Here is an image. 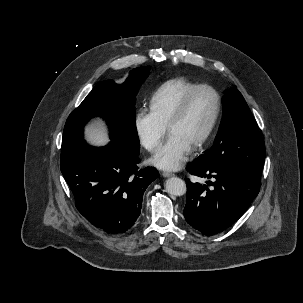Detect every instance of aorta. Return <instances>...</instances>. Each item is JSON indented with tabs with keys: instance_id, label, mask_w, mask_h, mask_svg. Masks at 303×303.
I'll return each mask as SVG.
<instances>
[{
	"instance_id": "aorta-1",
	"label": "aorta",
	"mask_w": 303,
	"mask_h": 303,
	"mask_svg": "<svg viewBox=\"0 0 303 303\" xmlns=\"http://www.w3.org/2000/svg\"><path fill=\"white\" fill-rule=\"evenodd\" d=\"M164 187L167 193L174 196H182L186 193V184L178 177L167 179L164 183Z\"/></svg>"
}]
</instances>
